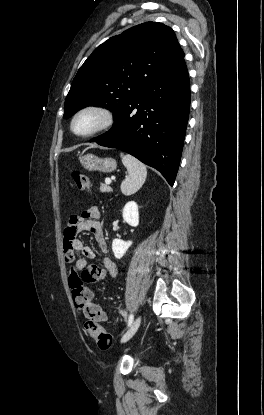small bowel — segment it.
Listing matches in <instances>:
<instances>
[{"label":"small bowel","mask_w":264,"mask_h":415,"mask_svg":"<svg viewBox=\"0 0 264 415\" xmlns=\"http://www.w3.org/2000/svg\"><path fill=\"white\" fill-rule=\"evenodd\" d=\"M99 217L100 209L95 206L89 207L82 212L81 216L76 218L74 223L72 222L71 228L75 229L74 233L71 232L70 227L65 230L63 256L65 261L71 264L73 269L77 272L82 271L87 266L88 261L95 258V252L91 247L85 245L80 239L76 237V232H91L98 245L99 250L102 253L107 252V243L104 237L102 225L98 220ZM77 254H80V257L76 258ZM103 264L108 275L110 277H115L117 274V266L115 262L111 258L105 257L103 259ZM101 312L102 321H104L106 319V314L102 310Z\"/></svg>","instance_id":"1"}]
</instances>
